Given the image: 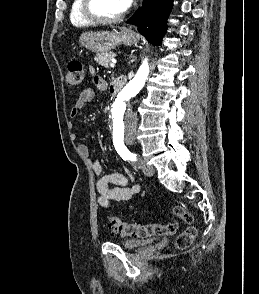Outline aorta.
<instances>
[{
  "mask_svg": "<svg viewBox=\"0 0 259 294\" xmlns=\"http://www.w3.org/2000/svg\"><path fill=\"white\" fill-rule=\"evenodd\" d=\"M149 74V65L145 59L135 77L119 92L109 113V133L113 141L125 143L135 140L137 117L129 109V101L143 88Z\"/></svg>",
  "mask_w": 259,
  "mask_h": 294,
  "instance_id": "762f6f07",
  "label": "aorta"
}]
</instances>
